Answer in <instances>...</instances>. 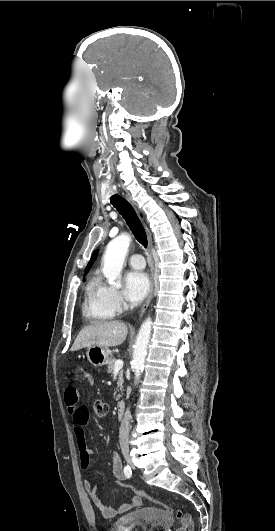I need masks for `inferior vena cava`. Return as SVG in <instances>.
I'll return each instance as SVG.
<instances>
[{
    "instance_id": "inferior-vena-cava-1",
    "label": "inferior vena cava",
    "mask_w": 275,
    "mask_h": 531,
    "mask_svg": "<svg viewBox=\"0 0 275 531\" xmlns=\"http://www.w3.org/2000/svg\"><path fill=\"white\" fill-rule=\"evenodd\" d=\"M130 409H126V413L121 421L119 429V443L120 449H129V427H130Z\"/></svg>"
}]
</instances>
